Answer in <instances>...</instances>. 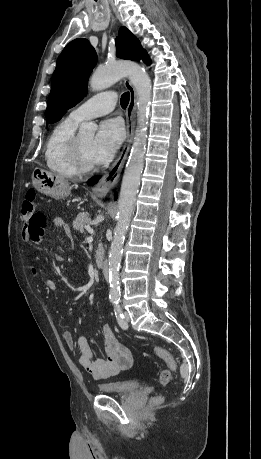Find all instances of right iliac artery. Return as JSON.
I'll list each match as a JSON object with an SVG mask.
<instances>
[{"instance_id":"82829eb1","label":"right iliac artery","mask_w":261,"mask_h":459,"mask_svg":"<svg viewBox=\"0 0 261 459\" xmlns=\"http://www.w3.org/2000/svg\"><path fill=\"white\" fill-rule=\"evenodd\" d=\"M113 303H117V301H116V300H114V301H113Z\"/></svg>"}]
</instances>
